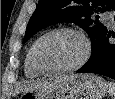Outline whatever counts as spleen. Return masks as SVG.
<instances>
[{
  "mask_svg": "<svg viewBox=\"0 0 115 99\" xmlns=\"http://www.w3.org/2000/svg\"><path fill=\"white\" fill-rule=\"evenodd\" d=\"M108 90L112 99H115V82H108Z\"/></svg>",
  "mask_w": 115,
  "mask_h": 99,
  "instance_id": "1",
  "label": "spleen"
}]
</instances>
